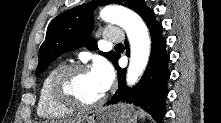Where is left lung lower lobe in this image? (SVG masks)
<instances>
[{
  "label": "left lung lower lobe",
  "instance_id": "obj_1",
  "mask_svg": "<svg viewBox=\"0 0 221 123\" xmlns=\"http://www.w3.org/2000/svg\"><path fill=\"white\" fill-rule=\"evenodd\" d=\"M138 14L146 22L149 28L152 45L149 64L139 83L132 88H128L125 83L126 69L120 70L116 57L113 65L117 69L119 88L108 101L107 105L124 102L140 106L149 112L158 122L162 121L165 115V101L168 94L167 81L170 77L168 70L169 54L166 52V39L162 37V24L155 20V13L150 8L144 6ZM127 54H129L128 42H125Z\"/></svg>",
  "mask_w": 221,
  "mask_h": 123
}]
</instances>
